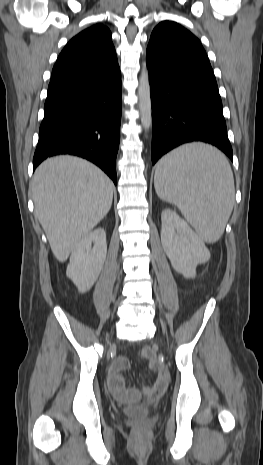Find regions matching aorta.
I'll return each mask as SVG.
<instances>
[{
	"label": "aorta",
	"instance_id": "1",
	"mask_svg": "<svg viewBox=\"0 0 263 465\" xmlns=\"http://www.w3.org/2000/svg\"><path fill=\"white\" fill-rule=\"evenodd\" d=\"M138 98L141 124L145 132H148L152 126V105L150 97L149 74L147 70H142L139 77Z\"/></svg>",
	"mask_w": 263,
	"mask_h": 465
}]
</instances>
